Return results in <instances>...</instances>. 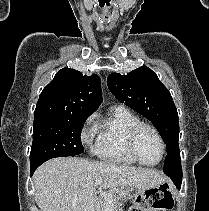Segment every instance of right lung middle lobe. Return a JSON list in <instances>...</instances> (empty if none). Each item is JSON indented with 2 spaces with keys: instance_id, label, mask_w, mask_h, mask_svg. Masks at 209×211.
I'll return each instance as SVG.
<instances>
[{
  "instance_id": "1",
  "label": "right lung middle lobe",
  "mask_w": 209,
  "mask_h": 211,
  "mask_svg": "<svg viewBox=\"0 0 209 211\" xmlns=\"http://www.w3.org/2000/svg\"><path fill=\"white\" fill-rule=\"evenodd\" d=\"M88 116L34 118L30 167H38L54 157L83 153L80 134Z\"/></svg>"
}]
</instances>
